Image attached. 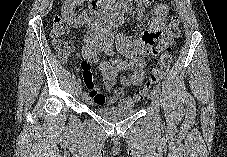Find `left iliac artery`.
Returning a JSON list of instances; mask_svg holds the SVG:
<instances>
[{"label": "left iliac artery", "mask_w": 227, "mask_h": 157, "mask_svg": "<svg viewBox=\"0 0 227 157\" xmlns=\"http://www.w3.org/2000/svg\"><path fill=\"white\" fill-rule=\"evenodd\" d=\"M153 91H155L156 93H160V88L158 85H156L154 88H153Z\"/></svg>", "instance_id": "left-iliac-artery-1"}]
</instances>
